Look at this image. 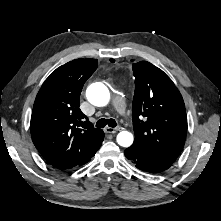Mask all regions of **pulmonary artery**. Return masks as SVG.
I'll use <instances>...</instances> for the list:
<instances>
[{"instance_id":"pulmonary-artery-1","label":"pulmonary artery","mask_w":221,"mask_h":221,"mask_svg":"<svg viewBox=\"0 0 221 221\" xmlns=\"http://www.w3.org/2000/svg\"><path fill=\"white\" fill-rule=\"evenodd\" d=\"M114 109L123 116H126V103L122 94L117 93L112 101Z\"/></svg>"}]
</instances>
